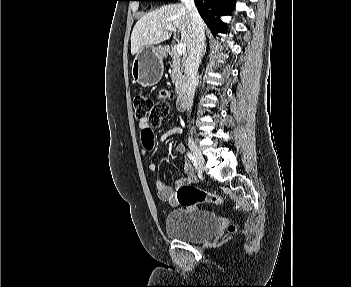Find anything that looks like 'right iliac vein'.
Here are the masks:
<instances>
[{"label": "right iliac vein", "instance_id": "63e3f726", "mask_svg": "<svg viewBox=\"0 0 351 287\" xmlns=\"http://www.w3.org/2000/svg\"><path fill=\"white\" fill-rule=\"evenodd\" d=\"M188 145H189V148H190L192 154L194 155V157L196 159V163H197L199 170L203 171L205 161H204V157H203L202 153L200 152L199 148L194 143V141L189 140Z\"/></svg>", "mask_w": 351, "mask_h": 287}]
</instances>
